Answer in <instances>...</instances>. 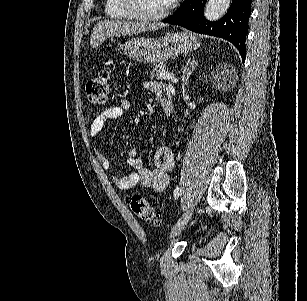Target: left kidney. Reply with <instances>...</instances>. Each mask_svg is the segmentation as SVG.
<instances>
[{
  "mask_svg": "<svg viewBox=\"0 0 307 301\" xmlns=\"http://www.w3.org/2000/svg\"><path fill=\"white\" fill-rule=\"evenodd\" d=\"M222 74L223 80H219L218 76ZM233 74H235V68L231 64H219L212 72L211 82H213L216 88H223V86H231L233 80Z\"/></svg>",
  "mask_w": 307,
  "mask_h": 301,
  "instance_id": "obj_1",
  "label": "left kidney"
}]
</instances>
